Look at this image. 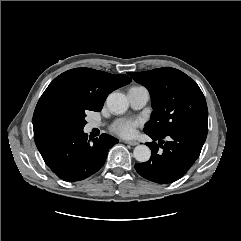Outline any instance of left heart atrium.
Returning a JSON list of instances; mask_svg holds the SVG:
<instances>
[{
    "label": "left heart atrium",
    "instance_id": "39dd6f15",
    "mask_svg": "<svg viewBox=\"0 0 241 241\" xmlns=\"http://www.w3.org/2000/svg\"><path fill=\"white\" fill-rule=\"evenodd\" d=\"M138 121L131 119H120L112 126V131L122 137H131L135 133Z\"/></svg>",
    "mask_w": 241,
    "mask_h": 241
}]
</instances>
